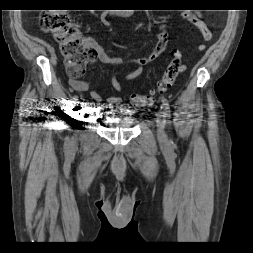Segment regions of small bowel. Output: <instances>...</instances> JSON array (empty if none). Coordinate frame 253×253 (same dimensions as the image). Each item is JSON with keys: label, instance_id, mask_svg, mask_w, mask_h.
<instances>
[{"label": "small bowel", "instance_id": "c3829d8e", "mask_svg": "<svg viewBox=\"0 0 253 253\" xmlns=\"http://www.w3.org/2000/svg\"><path fill=\"white\" fill-rule=\"evenodd\" d=\"M183 18L188 19L192 22L203 34V37L206 41L212 39V34L208 30L206 23L204 22L201 15H195L192 13H183ZM96 52V59L105 64L121 65V66H130L131 70L126 74L125 81L130 82L135 78L139 77L142 73L143 67L153 61H155L167 48L169 42L168 30L165 24L159 26V31L157 35V41L152 48V50L145 56L133 58V59H122L120 57H112L107 54L105 49L94 42L88 41ZM198 49L203 51L206 49V46L201 44L198 46ZM70 86L78 92H86L90 90V83L88 81L80 80L77 78L71 77L69 79ZM110 85L117 91H122V86L118 81L116 75H113L110 79ZM90 96L93 100L97 102H102L100 94L95 90H90ZM108 105H122V99L120 97H108L106 99Z\"/></svg>", "mask_w": 253, "mask_h": 253}]
</instances>
